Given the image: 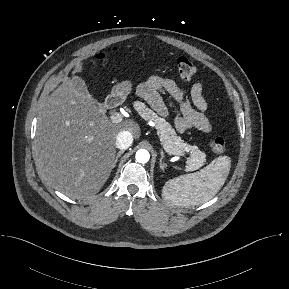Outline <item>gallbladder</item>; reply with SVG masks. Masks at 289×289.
<instances>
[{"label":"gallbladder","mask_w":289,"mask_h":289,"mask_svg":"<svg viewBox=\"0 0 289 289\" xmlns=\"http://www.w3.org/2000/svg\"><path fill=\"white\" fill-rule=\"evenodd\" d=\"M72 81L74 83V86L76 87V89H78L79 91L88 93L87 87L85 82L79 78V77H73ZM89 94V93H88ZM90 95V94H89ZM90 98L92 99V101L100 108L102 109L104 107V105L100 102H98L92 95H90Z\"/></svg>","instance_id":"gallbladder-1"}]
</instances>
